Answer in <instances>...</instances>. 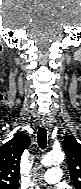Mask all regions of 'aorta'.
Instances as JSON below:
<instances>
[{
	"label": "aorta",
	"mask_w": 81,
	"mask_h": 189,
	"mask_svg": "<svg viewBox=\"0 0 81 189\" xmlns=\"http://www.w3.org/2000/svg\"><path fill=\"white\" fill-rule=\"evenodd\" d=\"M64 161V153L61 151H51L41 160L43 166L58 165ZM39 189V188H36Z\"/></svg>",
	"instance_id": "aorta-1"
}]
</instances>
